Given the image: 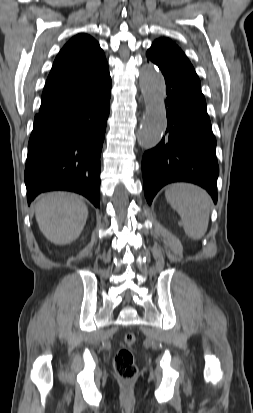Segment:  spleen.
<instances>
[{
	"instance_id": "1",
	"label": "spleen",
	"mask_w": 253,
	"mask_h": 413,
	"mask_svg": "<svg viewBox=\"0 0 253 413\" xmlns=\"http://www.w3.org/2000/svg\"><path fill=\"white\" fill-rule=\"evenodd\" d=\"M167 202L182 219L185 233L194 240H199L207 231L211 198L202 188L193 184L177 183L165 191Z\"/></svg>"
}]
</instances>
